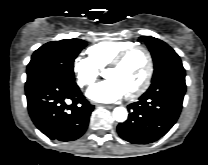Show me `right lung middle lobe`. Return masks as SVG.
Instances as JSON below:
<instances>
[{
  "label": "right lung middle lobe",
  "instance_id": "dd1d6c3e",
  "mask_svg": "<svg viewBox=\"0 0 208 165\" xmlns=\"http://www.w3.org/2000/svg\"><path fill=\"white\" fill-rule=\"evenodd\" d=\"M86 46L81 39H65L46 43L37 49L27 66V81L46 75H57L74 81L73 63Z\"/></svg>",
  "mask_w": 208,
  "mask_h": 165
}]
</instances>
